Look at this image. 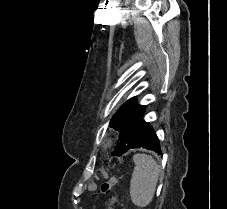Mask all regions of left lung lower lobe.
Wrapping results in <instances>:
<instances>
[{"label":"left lung lower lobe","mask_w":227,"mask_h":209,"mask_svg":"<svg viewBox=\"0 0 227 209\" xmlns=\"http://www.w3.org/2000/svg\"><path fill=\"white\" fill-rule=\"evenodd\" d=\"M134 148L149 149L161 154L159 139L150 124L144 120L141 121L129 149Z\"/></svg>","instance_id":"0a47b994"}]
</instances>
